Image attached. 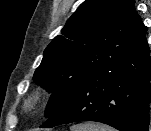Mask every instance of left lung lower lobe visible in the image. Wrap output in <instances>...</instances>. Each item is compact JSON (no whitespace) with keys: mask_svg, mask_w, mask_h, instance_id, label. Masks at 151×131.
<instances>
[{"mask_svg":"<svg viewBox=\"0 0 151 131\" xmlns=\"http://www.w3.org/2000/svg\"><path fill=\"white\" fill-rule=\"evenodd\" d=\"M146 32L139 17L131 56L114 69L85 76L40 127L96 121L120 131H149L151 59Z\"/></svg>","mask_w":151,"mask_h":131,"instance_id":"obj_1","label":"left lung lower lobe"}]
</instances>
